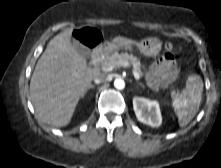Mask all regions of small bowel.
Listing matches in <instances>:
<instances>
[{
  "label": "small bowel",
  "instance_id": "small-bowel-1",
  "mask_svg": "<svg viewBox=\"0 0 221 168\" xmlns=\"http://www.w3.org/2000/svg\"><path fill=\"white\" fill-rule=\"evenodd\" d=\"M178 58L174 53H165L149 68L150 81L154 87H166L178 77Z\"/></svg>",
  "mask_w": 221,
  "mask_h": 168
}]
</instances>
